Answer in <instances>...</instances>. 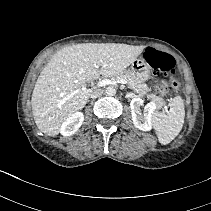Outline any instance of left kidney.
Returning a JSON list of instances; mask_svg holds the SVG:
<instances>
[{
    "mask_svg": "<svg viewBox=\"0 0 211 211\" xmlns=\"http://www.w3.org/2000/svg\"><path fill=\"white\" fill-rule=\"evenodd\" d=\"M144 105V101L141 98H133L130 103L131 115L133 124L136 128L142 131H149L152 128L151 117L156 109V104L150 102L144 107V113L142 114L140 107Z\"/></svg>",
    "mask_w": 211,
    "mask_h": 211,
    "instance_id": "1",
    "label": "left kidney"
}]
</instances>
